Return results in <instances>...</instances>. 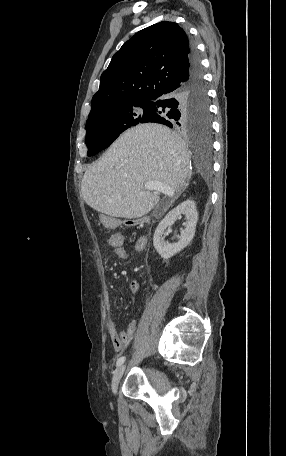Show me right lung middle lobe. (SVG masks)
I'll use <instances>...</instances> for the list:
<instances>
[{
    "instance_id": "dd1d6c3e",
    "label": "right lung middle lobe",
    "mask_w": 286,
    "mask_h": 456,
    "mask_svg": "<svg viewBox=\"0 0 286 456\" xmlns=\"http://www.w3.org/2000/svg\"><path fill=\"white\" fill-rule=\"evenodd\" d=\"M150 100L132 99L108 105L93 115L86 122L87 156L96 155L109 147L126 129L139 123H146L153 115ZM211 129L208 119L203 127L196 125L193 131L209 133Z\"/></svg>"
}]
</instances>
